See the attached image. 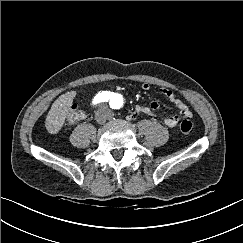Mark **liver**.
I'll use <instances>...</instances> for the list:
<instances>
[{
  "instance_id": "liver-1",
  "label": "liver",
  "mask_w": 243,
  "mask_h": 243,
  "mask_svg": "<svg viewBox=\"0 0 243 243\" xmlns=\"http://www.w3.org/2000/svg\"><path fill=\"white\" fill-rule=\"evenodd\" d=\"M75 96V91L66 92L53 102L45 121V127L50 134L58 133L63 127L67 113Z\"/></svg>"
}]
</instances>
